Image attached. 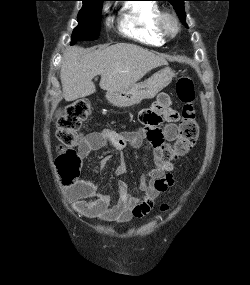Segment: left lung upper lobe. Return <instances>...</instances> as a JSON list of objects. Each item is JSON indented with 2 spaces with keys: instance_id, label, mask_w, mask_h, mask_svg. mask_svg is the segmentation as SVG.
Wrapping results in <instances>:
<instances>
[{
  "instance_id": "left-lung-upper-lobe-1",
  "label": "left lung upper lobe",
  "mask_w": 250,
  "mask_h": 285,
  "mask_svg": "<svg viewBox=\"0 0 250 285\" xmlns=\"http://www.w3.org/2000/svg\"><path fill=\"white\" fill-rule=\"evenodd\" d=\"M165 1H169L173 5L177 15L179 16L180 21L187 27L186 15L184 11V1L186 0H165Z\"/></svg>"
}]
</instances>
